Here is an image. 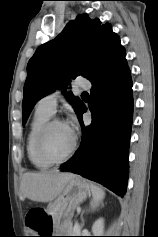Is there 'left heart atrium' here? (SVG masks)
Returning a JSON list of instances; mask_svg holds the SVG:
<instances>
[{"mask_svg": "<svg viewBox=\"0 0 158 237\" xmlns=\"http://www.w3.org/2000/svg\"><path fill=\"white\" fill-rule=\"evenodd\" d=\"M66 128L68 129V131L72 134V136L74 135V131H75V122L74 119H70L66 124H65Z\"/></svg>", "mask_w": 158, "mask_h": 237, "instance_id": "left-heart-atrium-1", "label": "left heart atrium"}]
</instances>
